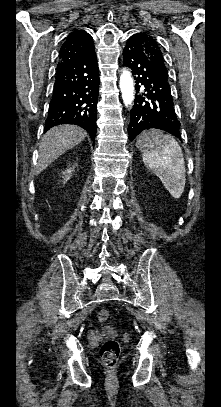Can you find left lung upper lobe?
Returning <instances> with one entry per match:
<instances>
[{
	"label": "left lung upper lobe",
	"instance_id": "1",
	"mask_svg": "<svg viewBox=\"0 0 221 407\" xmlns=\"http://www.w3.org/2000/svg\"><path fill=\"white\" fill-rule=\"evenodd\" d=\"M135 36L137 37V40L140 42L142 49L144 50L148 58L152 62H154L157 66L167 71L164 64L162 52L156 40L145 33H137L135 34Z\"/></svg>",
	"mask_w": 221,
	"mask_h": 407
}]
</instances>
